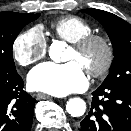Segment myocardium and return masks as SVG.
Wrapping results in <instances>:
<instances>
[{"label":"myocardium","mask_w":131,"mask_h":131,"mask_svg":"<svg viewBox=\"0 0 131 131\" xmlns=\"http://www.w3.org/2000/svg\"><path fill=\"white\" fill-rule=\"evenodd\" d=\"M96 46L103 50L102 62L96 67L87 68L86 71L93 78H101L110 71L115 59V49L112 41L105 35L90 34L72 43V49L79 55L86 54Z\"/></svg>","instance_id":"1"}]
</instances>
